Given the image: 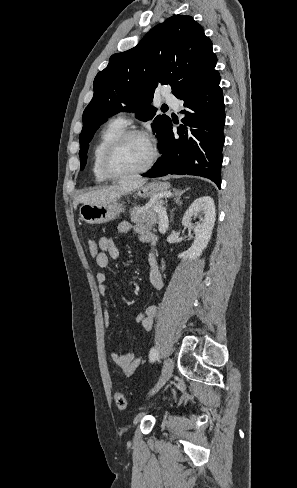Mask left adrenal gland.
Wrapping results in <instances>:
<instances>
[{
    "mask_svg": "<svg viewBox=\"0 0 297 488\" xmlns=\"http://www.w3.org/2000/svg\"><path fill=\"white\" fill-rule=\"evenodd\" d=\"M173 192H174V195H175V198H174L175 203L176 204H181V200H180L181 199V196H182V194H184L186 192V190H182V191L174 190Z\"/></svg>",
    "mask_w": 297,
    "mask_h": 488,
    "instance_id": "1",
    "label": "left adrenal gland"
}]
</instances>
